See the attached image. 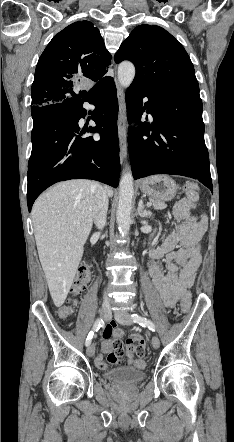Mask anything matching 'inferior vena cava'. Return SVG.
Segmentation results:
<instances>
[{"label": "inferior vena cava", "instance_id": "inferior-vena-cava-1", "mask_svg": "<svg viewBox=\"0 0 234 442\" xmlns=\"http://www.w3.org/2000/svg\"><path fill=\"white\" fill-rule=\"evenodd\" d=\"M91 208L94 224L98 229H103L106 224L108 210V196L104 187L94 182L91 185Z\"/></svg>", "mask_w": 234, "mask_h": 442}]
</instances>
